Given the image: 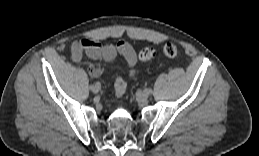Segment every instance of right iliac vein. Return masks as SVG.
Masks as SVG:
<instances>
[{
  "label": "right iliac vein",
  "mask_w": 259,
  "mask_h": 156,
  "mask_svg": "<svg viewBox=\"0 0 259 156\" xmlns=\"http://www.w3.org/2000/svg\"><path fill=\"white\" fill-rule=\"evenodd\" d=\"M99 90H100V86L99 85H94V88L91 89V91L94 92V93H98Z\"/></svg>",
  "instance_id": "right-iliac-vein-1"
}]
</instances>
